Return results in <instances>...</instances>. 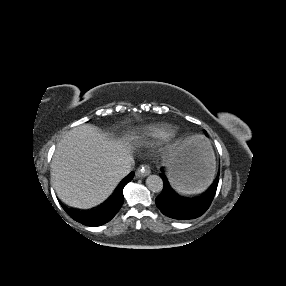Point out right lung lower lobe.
<instances>
[{
    "mask_svg": "<svg viewBox=\"0 0 286 286\" xmlns=\"http://www.w3.org/2000/svg\"><path fill=\"white\" fill-rule=\"evenodd\" d=\"M133 177L134 172L130 173L127 177H125L123 181L119 184L113 195L109 198V200H107L99 208L94 209L92 211H75L65 207L61 202L60 204L71 218H73L77 222H80L83 225L92 227L103 225L110 221L121 208L124 202L123 188L128 182L133 179Z\"/></svg>",
    "mask_w": 286,
    "mask_h": 286,
    "instance_id": "obj_1",
    "label": "right lung lower lobe"
}]
</instances>
